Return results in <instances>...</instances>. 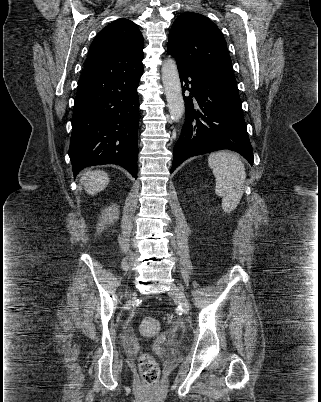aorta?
Wrapping results in <instances>:
<instances>
[{"instance_id": "1", "label": "aorta", "mask_w": 321, "mask_h": 402, "mask_svg": "<svg viewBox=\"0 0 321 402\" xmlns=\"http://www.w3.org/2000/svg\"><path fill=\"white\" fill-rule=\"evenodd\" d=\"M161 72L170 117L178 122L184 114V100L176 62L173 59L165 60Z\"/></svg>"}]
</instances>
